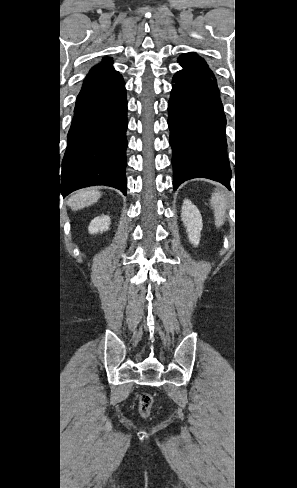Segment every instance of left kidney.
Returning <instances> with one entry per match:
<instances>
[{"instance_id":"obj_1","label":"left kidney","mask_w":297,"mask_h":488,"mask_svg":"<svg viewBox=\"0 0 297 488\" xmlns=\"http://www.w3.org/2000/svg\"><path fill=\"white\" fill-rule=\"evenodd\" d=\"M182 221L187 228L189 241L197 246L200 241V232L203 227L202 217L198 208L188 199L183 202L181 210Z\"/></svg>"}]
</instances>
